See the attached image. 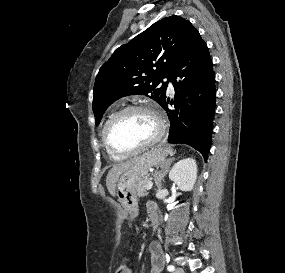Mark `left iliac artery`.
I'll list each match as a JSON object with an SVG mask.
<instances>
[{"label":"left iliac artery","mask_w":285,"mask_h":273,"mask_svg":"<svg viewBox=\"0 0 285 273\" xmlns=\"http://www.w3.org/2000/svg\"><path fill=\"white\" fill-rule=\"evenodd\" d=\"M167 270L170 271V272H173L175 270V267L173 265H169L167 267Z\"/></svg>","instance_id":"left-iliac-artery-1"}]
</instances>
